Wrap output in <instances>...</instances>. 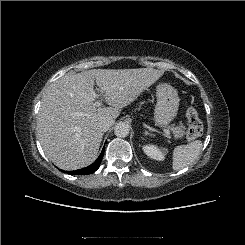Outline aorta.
<instances>
[{
  "label": "aorta",
  "mask_w": 245,
  "mask_h": 245,
  "mask_svg": "<svg viewBox=\"0 0 245 245\" xmlns=\"http://www.w3.org/2000/svg\"><path fill=\"white\" fill-rule=\"evenodd\" d=\"M129 125L125 122L118 123L114 128V134L117 137L124 138L129 135Z\"/></svg>",
  "instance_id": "aorta-1"
}]
</instances>
